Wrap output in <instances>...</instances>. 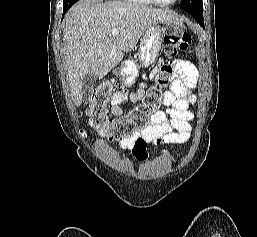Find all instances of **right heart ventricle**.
<instances>
[{"label":"right heart ventricle","mask_w":257,"mask_h":237,"mask_svg":"<svg viewBox=\"0 0 257 237\" xmlns=\"http://www.w3.org/2000/svg\"><path fill=\"white\" fill-rule=\"evenodd\" d=\"M125 2L135 3V4H142V5H148L151 4V0H122Z\"/></svg>","instance_id":"obj_1"}]
</instances>
